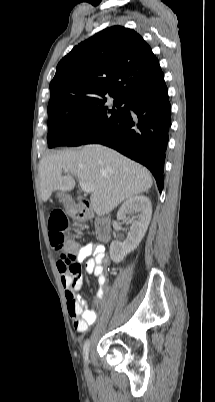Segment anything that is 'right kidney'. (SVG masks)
<instances>
[{
    "instance_id": "1",
    "label": "right kidney",
    "mask_w": 215,
    "mask_h": 402,
    "mask_svg": "<svg viewBox=\"0 0 215 402\" xmlns=\"http://www.w3.org/2000/svg\"><path fill=\"white\" fill-rule=\"evenodd\" d=\"M131 214H135V220L126 240L123 243L115 240L110 245V256L115 263L121 262L127 254L134 251L145 236L152 216L150 199L142 195L130 197L118 210L117 218L124 220Z\"/></svg>"
}]
</instances>
